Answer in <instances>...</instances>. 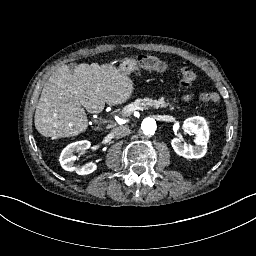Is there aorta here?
<instances>
[{
    "label": "aorta",
    "instance_id": "1",
    "mask_svg": "<svg viewBox=\"0 0 256 256\" xmlns=\"http://www.w3.org/2000/svg\"><path fill=\"white\" fill-rule=\"evenodd\" d=\"M141 127L144 133L150 135L156 132L158 126L155 120L149 118L143 121Z\"/></svg>",
    "mask_w": 256,
    "mask_h": 256
}]
</instances>
